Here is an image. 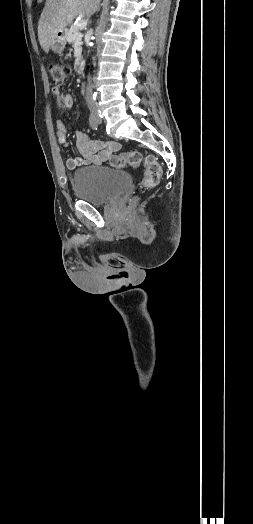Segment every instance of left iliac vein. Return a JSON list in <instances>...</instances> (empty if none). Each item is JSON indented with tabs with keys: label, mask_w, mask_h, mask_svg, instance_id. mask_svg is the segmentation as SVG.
<instances>
[{
	"label": "left iliac vein",
	"mask_w": 253,
	"mask_h": 524,
	"mask_svg": "<svg viewBox=\"0 0 253 524\" xmlns=\"http://www.w3.org/2000/svg\"><path fill=\"white\" fill-rule=\"evenodd\" d=\"M96 120H97L98 123L102 122L101 118H99L97 115H96Z\"/></svg>",
	"instance_id": "4c4485c4"
}]
</instances>
